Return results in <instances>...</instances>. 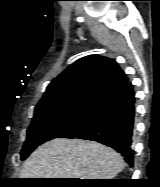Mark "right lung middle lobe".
<instances>
[{"label": "right lung middle lobe", "instance_id": "obj_1", "mask_svg": "<svg viewBox=\"0 0 160 187\" xmlns=\"http://www.w3.org/2000/svg\"><path fill=\"white\" fill-rule=\"evenodd\" d=\"M95 104V101L78 100L35 108L34 117L27 130V139L21 151V159H26L39 145L57 138L76 125Z\"/></svg>", "mask_w": 160, "mask_h": 187}]
</instances>
